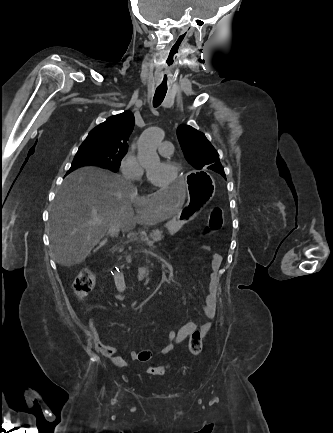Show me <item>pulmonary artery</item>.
Masks as SVG:
<instances>
[{"label": "pulmonary artery", "instance_id": "e3ab8cb5", "mask_svg": "<svg viewBox=\"0 0 333 433\" xmlns=\"http://www.w3.org/2000/svg\"><path fill=\"white\" fill-rule=\"evenodd\" d=\"M158 151L163 156H170L173 153V145L168 141L160 143Z\"/></svg>", "mask_w": 333, "mask_h": 433}]
</instances>
